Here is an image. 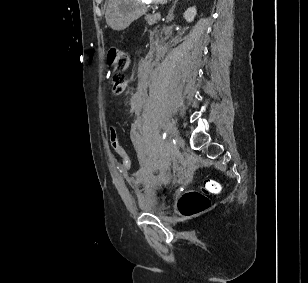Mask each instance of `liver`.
I'll return each instance as SVG.
<instances>
[{
  "label": "liver",
  "mask_w": 308,
  "mask_h": 283,
  "mask_svg": "<svg viewBox=\"0 0 308 283\" xmlns=\"http://www.w3.org/2000/svg\"><path fill=\"white\" fill-rule=\"evenodd\" d=\"M111 1H113V0H109L108 4H109Z\"/></svg>",
  "instance_id": "6515ba94"
}]
</instances>
